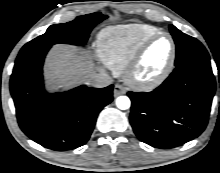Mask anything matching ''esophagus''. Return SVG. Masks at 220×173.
<instances>
[{"mask_svg":"<svg viewBox=\"0 0 220 173\" xmlns=\"http://www.w3.org/2000/svg\"><path fill=\"white\" fill-rule=\"evenodd\" d=\"M113 93L115 97L125 94L126 93L125 87L120 84H116Z\"/></svg>","mask_w":220,"mask_h":173,"instance_id":"1","label":"esophagus"}]
</instances>
